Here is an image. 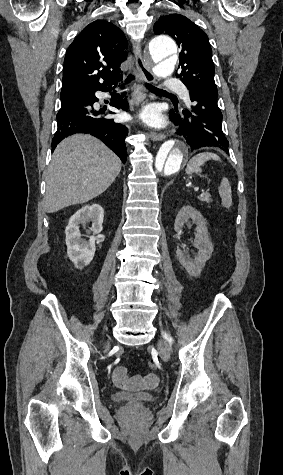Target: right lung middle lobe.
<instances>
[{
  "instance_id": "1",
  "label": "right lung middle lobe",
  "mask_w": 283,
  "mask_h": 475,
  "mask_svg": "<svg viewBox=\"0 0 283 475\" xmlns=\"http://www.w3.org/2000/svg\"><path fill=\"white\" fill-rule=\"evenodd\" d=\"M75 91H77V90H73V89H62V90H61V97L66 96V95H68V94H70V93H72V92H75Z\"/></svg>"
}]
</instances>
